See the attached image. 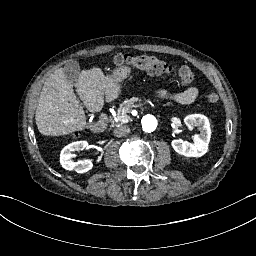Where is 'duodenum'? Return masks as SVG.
<instances>
[{
	"instance_id": "duodenum-1",
	"label": "duodenum",
	"mask_w": 256,
	"mask_h": 256,
	"mask_svg": "<svg viewBox=\"0 0 256 256\" xmlns=\"http://www.w3.org/2000/svg\"><path fill=\"white\" fill-rule=\"evenodd\" d=\"M130 75V72L128 68L121 66L117 68V70L111 74L110 77L107 78L106 80V90H107V95L109 98L114 99L117 97L118 92H117V87L116 84L117 82L124 81L128 79ZM109 123V115L106 111H102L99 115L98 121L94 124L93 126V131L95 133H102L105 131Z\"/></svg>"
}]
</instances>
